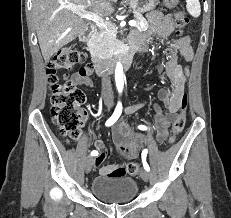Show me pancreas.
<instances>
[{
	"label": "pancreas",
	"instance_id": "cf45deb5",
	"mask_svg": "<svg viewBox=\"0 0 231 218\" xmlns=\"http://www.w3.org/2000/svg\"><path fill=\"white\" fill-rule=\"evenodd\" d=\"M136 28L139 31H146L149 24L141 13H135ZM142 23V24H141ZM116 29L114 25L108 23L105 26H99L98 30L93 34L91 41L97 51L106 52L112 49L113 42L115 41Z\"/></svg>",
	"mask_w": 231,
	"mask_h": 218
}]
</instances>
